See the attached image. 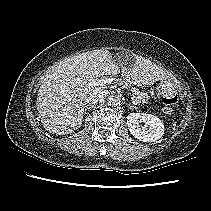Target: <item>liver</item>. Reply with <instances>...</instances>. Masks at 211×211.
<instances>
[{"instance_id": "liver-1", "label": "liver", "mask_w": 211, "mask_h": 211, "mask_svg": "<svg viewBox=\"0 0 211 211\" xmlns=\"http://www.w3.org/2000/svg\"><path fill=\"white\" fill-rule=\"evenodd\" d=\"M124 67L123 78L130 84L151 85L170 79L161 67L143 57L127 55L125 61H115L106 49L92 50L71 56L46 75L39 90L36 107L43 127L50 133L64 135L77 130L82 123L87 98L105 86H90L104 75H116Z\"/></svg>"}]
</instances>
